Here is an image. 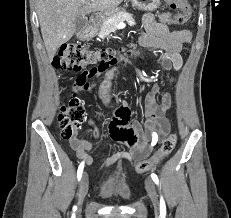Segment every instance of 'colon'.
Here are the masks:
<instances>
[{"mask_svg": "<svg viewBox=\"0 0 231 218\" xmlns=\"http://www.w3.org/2000/svg\"><path fill=\"white\" fill-rule=\"evenodd\" d=\"M172 9H179L174 17V22L179 25L185 24L191 15V7L186 0H165ZM103 60H116V51L111 48L90 49L78 44H64L60 47L53 59V65L62 70L79 71L89 69L90 66H99ZM87 113L82 101L73 94L71 98L60 106L57 121L60 127L61 137L72 141L86 122ZM176 144V135L171 134L164 139L160 149L150 158L140 160L135 165L139 173L146 172L167 157Z\"/></svg>", "mask_w": 231, "mask_h": 218, "instance_id": "5ec220e1", "label": "colon"}]
</instances>
